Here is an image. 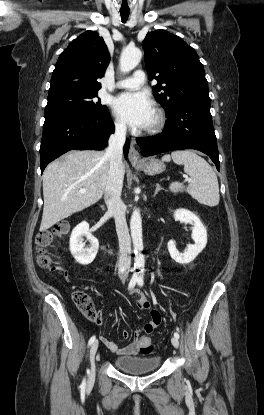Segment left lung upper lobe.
Segmentation results:
<instances>
[{
    "instance_id": "1",
    "label": "left lung upper lobe",
    "mask_w": 264,
    "mask_h": 415,
    "mask_svg": "<svg viewBox=\"0 0 264 415\" xmlns=\"http://www.w3.org/2000/svg\"><path fill=\"white\" fill-rule=\"evenodd\" d=\"M142 46L154 96L166 113L186 101H208V84L195 50L165 30L147 33Z\"/></svg>"
}]
</instances>
